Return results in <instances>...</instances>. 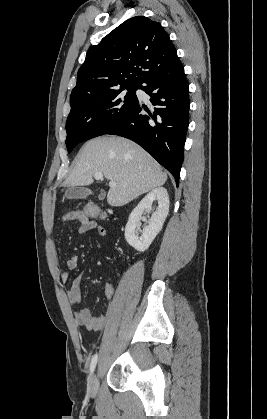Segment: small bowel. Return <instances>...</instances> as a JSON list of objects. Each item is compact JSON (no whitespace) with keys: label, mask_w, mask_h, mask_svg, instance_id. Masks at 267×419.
Here are the masks:
<instances>
[{"label":"small bowel","mask_w":267,"mask_h":419,"mask_svg":"<svg viewBox=\"0 0 267 419\" xmlns=\"http://www.w3.org/2000/svg\"><path fill=\"white\" fill-rule=\"evenodd\" d=\"M62 220L64 222H77L79 224L78 232L85 234L90 231H94L98 236L105 237L107 235V229L95 221L85 218L80 211H70L63 215ZM79 259L77 256H71L67 260L68 270H75L78 267ZM83 277V273L79 274L73 279L71 287L67 290L66 296L70 304L77 305L80 300V283ZM60 279L63 283L69 280V272L63 271L60 274ZM114 285L111 282H106L104 285V294L107 299H112L114 295ZM74 320L78 325L85 326L89 330L100 331L106 323L107 318L105 316H92L91 311L87 308L79 309L74 312Z\"/></svg>","instance_id":"small-bowel-1"}]
</instances>
